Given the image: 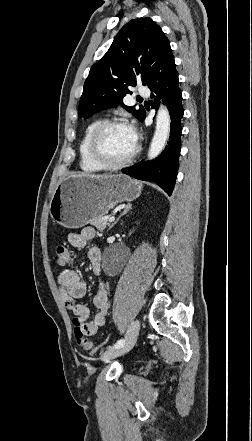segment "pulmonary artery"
<instances>
[{
	"mask_svg": "<svg viewBox=\"0 0 252 441\" xmlns=\"http://www.w3.org/2000/svg\"><path fill=\"white\" fill-rule=\"evenodd\" d=\"M138 94L140 96H149L150 90L148 88H146V87H141V88L138 89Z\"/></svg>",
	"mask_w": 252,
	"mask_h": 441,
	"instance_id": "e3ab8cb5",
	"label": "pulmonary artery"
}]
</instances>
